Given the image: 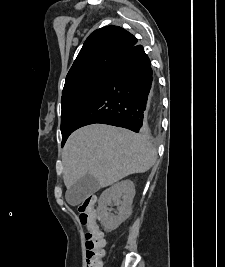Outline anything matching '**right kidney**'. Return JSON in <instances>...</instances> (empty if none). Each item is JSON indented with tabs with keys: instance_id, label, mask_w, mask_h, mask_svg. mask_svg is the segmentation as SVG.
<instances>
[{
	"instance_id": "ca27d5eb",
	"label": "right kidney",
	"mask_w": 225,
	"mask_h": 267,
	"mask_svg": "<svg viewBox=\"0 0 225 267\" xmlns=\"http://www.w3.org/2000/svg\"><path fill=\"white\" fill-rule=\"evenodd\" d=\"M135 186L131 180H123L106 189L98 201V219L105 230H115L132 212ZM118 206V214L112 215L108 206Z\"/></svg>"
}]
</instances>
